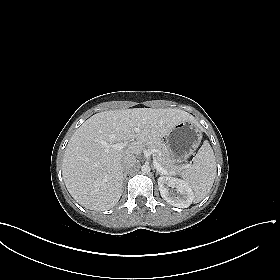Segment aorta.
Wrapping results in <instances>:
<instances>
[{
    "label": "aorta",
    "mask_w": 280,
    "mask_h": 280,
    "mask_svg": "<svg viewBox=\"0 0 280 280\" xmlns=\"http://www.w3.org/2000/svg\"><path fill=\"white\" fill-rule=\"evenodd\" d=\"M141 171H142L143 173H148V172H150V166L147 165V164L143 165V166L141 167Z\"/></svg>",
    "instance_id": "762f6f07"
}]
</instances>
